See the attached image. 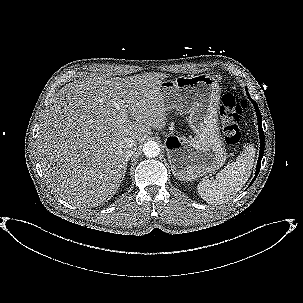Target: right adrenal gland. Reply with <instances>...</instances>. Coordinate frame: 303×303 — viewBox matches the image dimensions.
Instances as JSON below:
<instances>
[{"label": "right adrenal gland", "mask_w": 303, "mask_h": 303, "mask_svg": "<svg viewBox=\"0 0 303 303\" xmlns=\"http://www.w3.org/2000/svg\"><path fill=\"white\" fill-rule=\"evenodd\" d=\"M129 158H126V162H125V171H124V175H123V178L125 176V173H126V170H127V162H128Z\"/></svg>", "instance_id": "obj_1"}]
</instances>
